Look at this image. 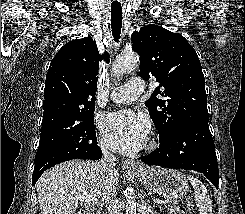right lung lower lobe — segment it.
<instances>
[{
    "label": "right lung lower lobe",
    "mask_w": 245,
    "mask_h": 214,
    "mask_svg": "<svg viewBox=\"0 0 245 214\" xmlns=\"http://www.w3.org/2000/svg\"><path fill=\"white\" fill-rule=\"evenodd\" d=\"M87 153L89 154L87 159L97 160V159H100L102 157V151L97 144L93 148H91ZM46 170L47 169L34 170L33 175H32V184L33 185H35V183L40 178L42 173Z\"/></svg>",
    "instance_id": "1"
}]
</instances>
